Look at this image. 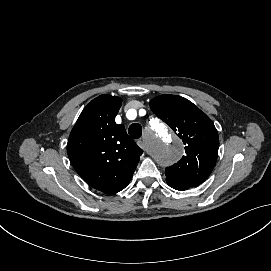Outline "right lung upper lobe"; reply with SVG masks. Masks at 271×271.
<instances>
[{"label":"right lung upper lobe","instance_id":"obj_1","mask_svg":"<svg viewBox=\"0 0 271 271\" xmlns=\"http://www.w3.org/2000/svg\"><path fill=\"white\" fill-rule=\"evenodd\" d=\"M121 99L100 95L82 111L67 144L68 157L91 187L114 194L130 182L143 150L115 123Z\"/></svg>","mask_w":271,"mask_h":271}]
</instances>
